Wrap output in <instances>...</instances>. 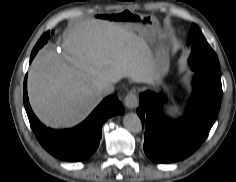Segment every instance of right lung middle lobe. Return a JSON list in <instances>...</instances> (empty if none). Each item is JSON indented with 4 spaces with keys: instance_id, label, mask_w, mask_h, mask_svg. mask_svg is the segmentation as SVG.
Listing matches in <instances>:
<instances>
[{
    "instance_id": "1",
    "label": "right lung middle lobe",
    "mask_w": 236,
    "mask_h": 182,
    "mask_svg": "<svg viewBox=\"0 0 236 182\" xmlns=\"http://www.w3.org/2000/svg\"><path fill=\"white\" fill-rule=\"evenodd\" d=\"M49 38L50 32L48 31L41 36L33 50L38 51L45 43H47Z\"/></svg>"
}]
</instances>
